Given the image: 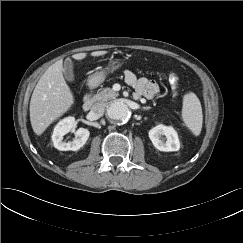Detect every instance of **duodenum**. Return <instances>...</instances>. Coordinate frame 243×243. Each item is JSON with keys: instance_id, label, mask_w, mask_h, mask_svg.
I'll use <instances>...</instances> for the list:
<instances>
[{"instance_id": "obj_1", "label": "duodenum", "mask_w": 243, "mask_h": 243, "mask_svg": "<svg viewBox=\"0 0 243 243\" xmlns=\"http://www.w3.org/2000/svg\"><path fill=\"white\" fill-rule=\"evenodd\" d=\"M94 104L93 93L89 92L84 96L82 107L85 111H88Z\"/></svg>"}]
</instances>
